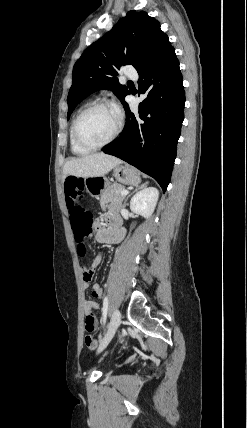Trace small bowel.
<instances>
[{"label": "small bowel", "mask_w": 247, "mask_h": 428, "mask_svg": "<svg viewBox=\"0 0 247 428\" xmlns=\"http://www.w3.org/2000/svg\"><path fill=\"white\" fill-rule=\"evenodd\" d=\"M124 236V230L120 227V221L118 216L114 211H109L103 218V222L100 226H98L96 230V239L99 242H105V243H117L122 240ZM102 261V254H98L95 259L93 260L92 264L84 268L82 271V277H83V287L85 289L90 287V281L92 280L94 271L98 268ZM103 290L98 284L92 285V292L91 295L94 298H100L102 297ZM87 301V300H86ZM85 301V302H86ZM98 307L95 309H88L85 306L84 303V314L85 318H97L94 313H91V310H97ZM94 315L93 317L91 315ZM98 327V326H97Z\"/></svg>", "instance_id": "small-bowel-1"}]
</instances>
